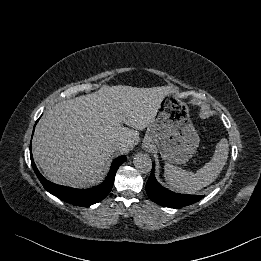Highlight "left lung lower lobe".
<instances>
[{
  "label": "left lung lower lobe",
  "instance_id": "0a47b994",
  "mask_svg": "<svg viewBox=\"0 0 261 261\" xmlns=\"http://www.w3.org/2000/svg\"><path fill=\"white\" fill-rule=\"evenodd\" d=\"M146 193L155 203L170 208H181L188 206L198 202L204 197L203 195L178 194L167 190L156 181L154 169H152L149 180L147 181Z\"/></svg>",
  "mask_w": 261,
  "mask_h": 261
}]
</instances>
